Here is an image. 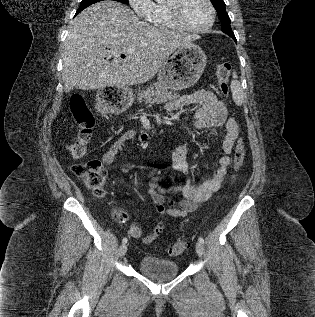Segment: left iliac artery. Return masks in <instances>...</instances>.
Here are the masks:
<instances>
[{
  "mask_svg": "<svg viewBox=\"0 0 315 317\" xmlns=\"http://www.w3.org/2000/svg\"><path fill=\"white\" fill-rule=\"evenodd\" d=\"M198 241H199L200 243H202V244L204 243V239H203L202 237H199V238H198Z\"/></svg>",
  "mask_w": 315,
  "mask_h": 317,
  "instance_id": "44dca946",
  "label": "left iliac artery"
}]
</instances>
